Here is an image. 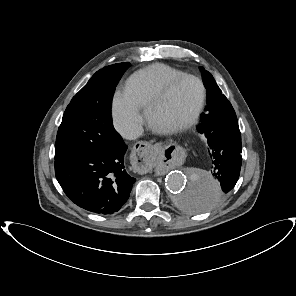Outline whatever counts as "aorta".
<instances>
[{
    "label": "aorta",
    "mask_w": 296,
    "mask_h": 296,
    "mask_svg": "<svg viewBox=\"0 0 296 296\" xmlns=\"http://www.w3.org/2000/svg\"><path fill=\"white\" fill-rule=\"evenodd\" d=\"M166 187L176 209L195 214L214 207L220 185L208 172L184 167L167 175Z\"/></svg>",
    "instance_id": "obj_1"
}]
</instances>
